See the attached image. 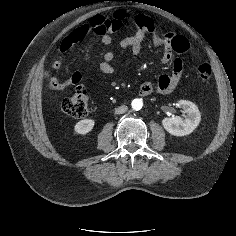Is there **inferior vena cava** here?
Listing matches in <instances>:
<instances>
[{
	"label": "inferior vena cava",
	"instance_id": "inferior-vena-cava-1",
	"mask_svg": "<svg viewBox=\"0 0 236 236\" xmlns=\"http://www.w3.org/2000/svg\"><path fill=\"white\" fill-rule=\"evenodd\" d=\"M128 110V107L126 105H121L118 108L115 109V114H123Z\"/></svg>",
	"mask_w": 236,
	"mask_h": 236
}]
</instances>
